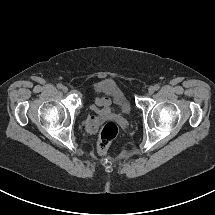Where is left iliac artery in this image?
Wrapping results in <instances>:
<instances>
[{"mask_svg":"<svg viewBox=\"0 0 215 215\" xmlns=\"http://www.w3.org/2000/svg\"><path fill=\"white\" fill-rule=\"evenodd\" d=\"M154 88H155V90H159L160 86H159L158 84H156V85L154 86Z\"/></svg>","mask_w":215,"mask_h":215,"instance_id":"1","label":"left iliac artery"}]
</instances>
